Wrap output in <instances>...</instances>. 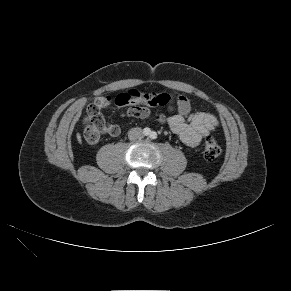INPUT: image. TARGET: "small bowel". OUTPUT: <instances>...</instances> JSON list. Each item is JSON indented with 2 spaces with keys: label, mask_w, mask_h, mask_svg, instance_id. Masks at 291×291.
<instances>
[{
  "label": "small bowel",
  "mask_w": 291,
  "mask_h": 291,
  "mask_svg": "<svg viewBox=\"0 0 291 291\" xmlns=\"http://www.w3.org/2000/svg\"><path fill=\"white\" fill-rule=\"evenodd\" d=\"M131 93L133 98L128 101L127 115L132 118H148L150 116H155L157 121L161 123H166L171 131L175 133L179 139L186 145L187 148L192 149L198 146L201 141L207 137L212 131H214L218 125V119L207 112H196L191 111V102L185 95H179L176 98L170 96V114L165 116L163 114H154L150 109L151 106L147 102H138L135 99L137 94H167V93H141L137 90H128L123 93ZM112 103V99L109 96H99L95 99L94 105L101 114V111ZM102 116V114H101ZM103 117V116H102ZM116 129L112 136L119 134V127L112 124Z\"/></svg>",
  "instance_id": "1"
}]
</instances>
